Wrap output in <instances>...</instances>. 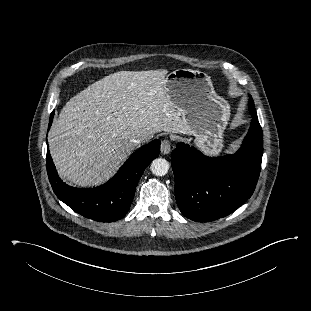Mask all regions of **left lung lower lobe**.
<instances>
[{
	"label": "left lung lower lobe",
	"instance_id": "left-lung-lower-lobe-1",
	"mask_svg": "<svg viewBox=\"0 0 311 311\" xmlns=\"http://www.w3.org/2000/svg\"><path fill=\"white\" fill-rule=\"evenodd\" d=\"M251 116L249 132L233 155L210 158L184 143H178L172 151L175 196L185 217L197 222L214 221L251 197L263 154L262 129L257 114Z\"/></svg>",
	"mask_w": 311,
	"mask_h": 311
}]
</instances>
